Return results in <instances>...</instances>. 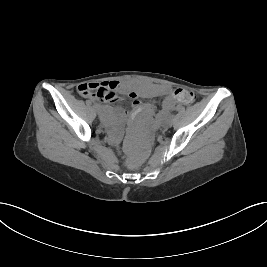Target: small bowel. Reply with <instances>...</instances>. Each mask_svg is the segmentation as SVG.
<instances>
[{
  "mask_svg": "<svg viewBox=\"0 0 267 267\" xmlns=\"http://www.w3.org/2000/svg\"><path fill=\"white\" fill-rule=\"evenodd\" d=\"M99 85V83H92ZM106 87H113L114 89H120L123 92L129 93L133 99V108L137 111H144L147 115H151L154 112V106L150 103L143 104L139 97H159L163 96L162 101V111L167 112L174 108L176 104V98L174 96V91L171 87L166 85L151 84L140 81H133L119 84L118 82H103ZM84 84H81L78 87V92L80 93L81 87ZM92 101L98 102V107L102 106L107 102V100L100 99L98 97H86Z\"/></svg>",
  "mask_w": 267,
  "mask_h": 267,
  "instance_id": "obj_1",
  "label": "small bowel"
}]
</instances>
